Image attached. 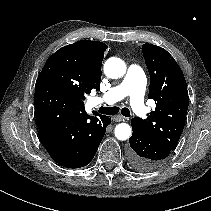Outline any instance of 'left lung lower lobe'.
Segmentation results:
<instances>
[{
    "label": "left lung lower lobe",
    "instance_id": "obj_1",
    "mask_svg": "<svg viewBox=\"0 0 211 211\" xmlns=\"http://www.w3.org/2000/svg\"><path fill=\"white\" fill-rule=\"evenodd\" d=\"M129 138L128 158L131 166L138 171H152L161 167L172 150L164 143L149 136L133 119Z\"/></svg>",
    "mask_w": 211,
    "mask_h": 211
}]
</instances>
